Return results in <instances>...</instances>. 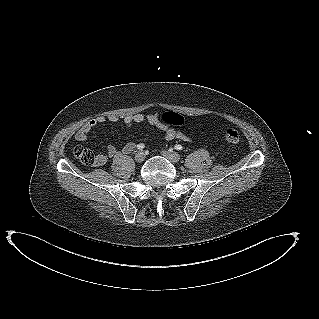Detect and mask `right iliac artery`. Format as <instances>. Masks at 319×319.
Returning a JSON list of instances; mask_svg holds the SVG:
<instances>
[{"label": "right iliac artery", "instance_id": "right-iliac-artery-1", "mask_svg": "<svg viewBox=\"0 0 319 319\" xmlns=\"http://www.w3.org/2000/svg\"><path fill=\"white\" fill-rule=\"evenodd\" d=\"M144 147H145V145L143 143L137 145V149H139V150L144 149Z\"/></svg>", "mask_w": 319, "mask_h": 319}]
</instances>
